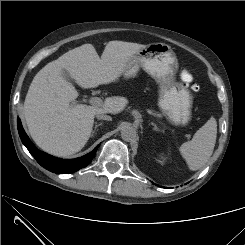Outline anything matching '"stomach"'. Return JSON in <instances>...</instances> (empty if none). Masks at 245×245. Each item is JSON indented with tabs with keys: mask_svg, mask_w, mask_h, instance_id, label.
<instances>
[{
	"mask_svg": "<svg viewBox=\"0 0 245 245\" xmlns=\"http://www.w3.org/2000/svg\"><path fill=\"white\" fill-rule=\"evenodd\" d=\"M140 69L160 85L159 107L175 125H186L191 119L192 98L188 90L174 82L178 60L165 43H150L136 52L128 61L124 76H137Z\"/></svg>",
	"mask_w": 245,
	"mask_h": 245,
	"instance_id": "0dacf381",
	"label": "stomach"
}]
</instances>
